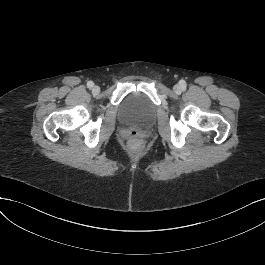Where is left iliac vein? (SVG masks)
Here are the masks:
<instances>
[{"label": "left iliac vein", "mask_w": 265, "mask_h": 265, "mask_svg": "<svg viewBox=\"0 0 265 265\" xmlns=\"http://www.w3.org/2000/svg\"><path fill=\"white\" fill-rule=\"evenodd\" d=\"M173 89H174V91H175L177 94L181 93V90H182V89H181V86L178 85V84L175 85Z\"/></svg>", "instance_id": "4c4485c4"}]
</instances>
